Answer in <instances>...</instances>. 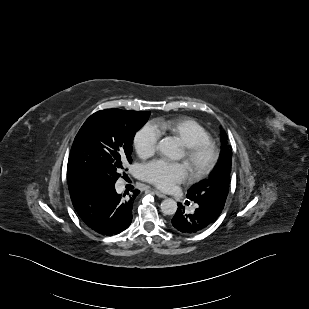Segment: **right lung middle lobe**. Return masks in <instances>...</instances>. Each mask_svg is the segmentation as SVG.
I'll use <instances>...</instances> for the list:
<instances>
[{"label": "right lung middle lobe", "mask_w": 309, "mask_h": 309, "mask_svg": "<svg viewBox=\"0 0 309 309\" xmlns=\"http://www.w3.org/2000/svg\"><path fill=\"white\" fill-rule=\"evenodd\" d=\"M150 112L105 109L91 115L77 133L70 152L68 176L114 186L132 162L135 133L146 123Z\"/></svg>", "instance_id": "obj_1"}]
</instances>
